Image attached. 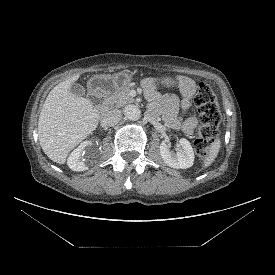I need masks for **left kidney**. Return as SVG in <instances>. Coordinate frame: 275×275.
Instances as JSON below:
<instances>
[{
	"label": "left kidney",
	"mask_w": 275,
	"mask_h": 275,
	"mask_svg": "<svg viewBox=\"0 0 275 275\" xmlns=\"http://www.w3.org/2000/svg\"><path fill=\"white\" fill-rule=\"evenodd\" d=\"M181 151H171L169 146L163 141L160 144V155L169 167L176 169H187L193 166L194 151L188 140L185 138L180 139Z\"/></svg>",
	"instance_id": "obj_1"
}]
</instances>
